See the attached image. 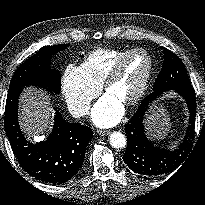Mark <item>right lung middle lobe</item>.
<instances>
[{"instance_id":"right-lung-middle-lobe-1","label":"right lung middle lobe","mask_w":205,"mask_h":205,"mask_svg":"<svg viewBox=\"0 0 205 205\" xmlns=\"http://www.w3.org/2000/svg\"><path fill=\"white\" fill-rule=\"evenodd\" d=\"M68 46L69 44H61L42 47L15 71L8 92L32 85L59 93L60 73L50 69V60L52 55L66 49Z\"/></svg>"}]
</instances>
